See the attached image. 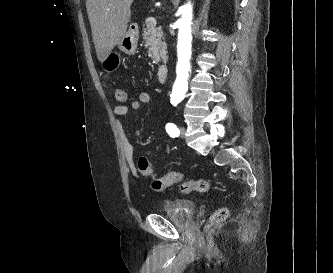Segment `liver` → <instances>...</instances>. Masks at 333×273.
<instances>
[{"mask_svg":"<svg viewBox=\"0 0 333 273\" xmlns=\"http://www.w3.org/2000/svg\"><path fill=\"white\" fill-rule=\"evenodd\" d=\"M134 0H86L97 58L103 62L125 35Z\"/></svg>","mask_w":333,"mask_h":273,"instance_id":"6515ba94","label":"liver"}]
</instances>
